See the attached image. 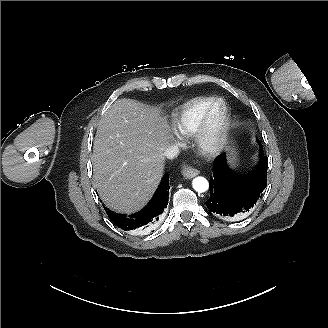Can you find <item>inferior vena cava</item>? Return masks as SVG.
<instances>
[{
	"label": "inferior vena cava",
	"instance_id": "obj_1",
	"mask_svg": "<svg viewBox=\"0 0 328 328\" xmlns=\"http://www.w3.org/2000/svg\"><path fill=\"white\" fill-rule=\"evenodd\" d=\"M180 155V149L177 145L172 144L170 146H168L166 148V150L164 151V156L168 159V160H172L177 158Z\"/></svg>",
	"mask_w": 328,
	"mask_h": 328
}]
</instances>
